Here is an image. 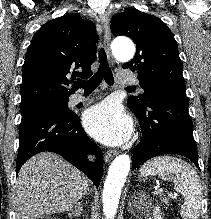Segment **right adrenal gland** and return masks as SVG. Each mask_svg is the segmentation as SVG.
<instances>
[{
    "instance_id": "right-adrenal-gland-1",
    "label": "right adrenal gland",
    "mask_w": 211,
    "mask_h": 219,
    "mask_svg": "<svg viewBox=\"0 0 211 219\" xmlns=\"http://www.w3.org/2000/svg\"><path fill=\"white\" fill-rule=\"evenodd\" d=\"M83 213V206L82 204L79 202L76 204L75 206V210L72 212H69L68 215L70 218L72 217H80Z\"/></svg>"
}]
</instances>
